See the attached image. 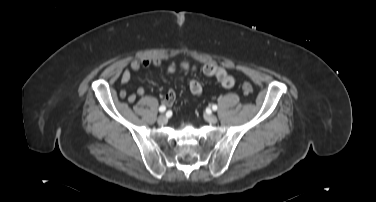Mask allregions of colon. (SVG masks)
I'll use <instances>...</instances> for the list:
<instances>
[{
  "label": "colon",
  "instance_id": "1",
  "mask_svg": "<svg viewBox=\"0 0 376 202\" xmlns=\"http://www.w3.org/2000/svg\"><path fill=\"white\" fill-rule=\"evenodd\" d=\"M242 90H243L244 94L250 95V94L253 93L254 89H253V86L249 82H245L242 85Z\"/></svg>",
  "mask_w": 376,
  "mask_h": 202
}]
</instances>
